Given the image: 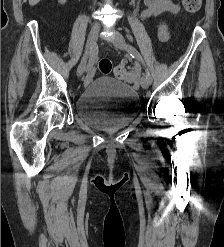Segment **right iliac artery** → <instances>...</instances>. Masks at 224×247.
<instances>
[{
	"label": "right iliac artery",
	"instance_id": "right-iliac-artery-1",
	"mask_svg": "<svg viewBox=\"0 0 224 247\" xmlns=\"http://www.w3.org/2000/svg\"><path fill=\"white\" fill-rule=\"evenodd\" d=\"M97 53H98V47L96 45H94L92 50H91L89 62H88L87 67H86L87 71H90L93 68L95 60L97 58Z\"/></svg>",
	"mask_w": 224,
	"mask_h": 247
}]
</instances>
